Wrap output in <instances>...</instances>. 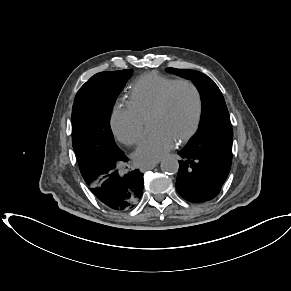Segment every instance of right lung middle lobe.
<instances>
[{
	"instance_id": "dd1d6c3e",
	"label": "right lung middle lobe",
	"mask_w": 291,
	"mask_h": 291,
	"mask_svg": "<svg viewBox=\"0 0 291 291\" xmlns=\"http://www.w3.org/2000/svg\"><path fill=\"white\" fill-rule=\"evenodd\" d=\"M131 70L97 73L78 91L72 108V144L80 169L118 160L110 114Z\"/></svg>"
}]
</instances>
